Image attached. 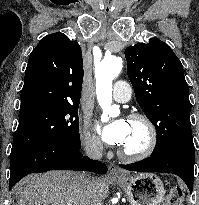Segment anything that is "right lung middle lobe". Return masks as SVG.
<instances>
[{
  "label": "right lung middle lobe",
  "mask_w": 199,
  "mask_h": 205,
  "mask_svg": "<svg viewBox=\"0 0 199 205\" xmlns=\"http://www.w3.org/2000/svg\"><path fill=\"white\" fill-rule=\"evenodd\" d=\"M78 105H42L20 111L10 157L53 143L79 147Z\"/></svg>",
  "instance_id": "right-lung-middle-lobe-1"
}]
</instances>
